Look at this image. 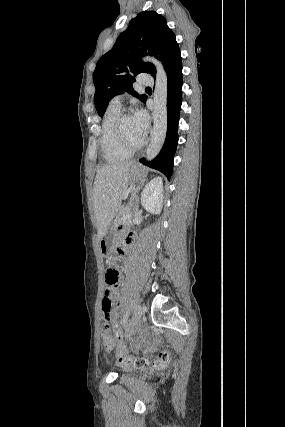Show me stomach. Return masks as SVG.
Segmentation results:
<instances>
[{
  "instance_id": "1",
  "label": "stomach",
  "mask_w": 285,
  "mask_h": 427,
  "mask_svg": "<svg viewBox=\"0 0 285 427\" xmlns=\"http://www.w3.org/2000/svg\"><path fill=\"white\" fill-rule=\"evenodd\" d=\"M144 170L137 164H133L130 168V183L134 184L136 182L143 181ZM113 237L114 231L112 228H109L104 236L99 241V246L101 252L104 255H108L113 248Z\"/></svg>"
}]
</instances>
